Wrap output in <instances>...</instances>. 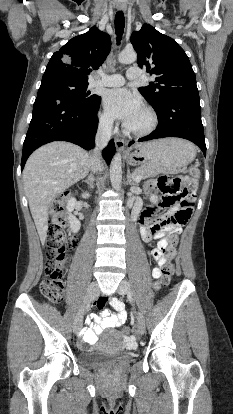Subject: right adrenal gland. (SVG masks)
Returning <instances> with one entry per match:
<instances>
[{
	"mask_svg": "<svg viewBox=\"0 0 233 414\" xmlns=\"http://www.w3.org/2000/svg\"><path fill=\"white\" fill-rule=\"evenodd\" d=\"M94 181H95V178L93 177V175L92 174H90L89 176H88V178L87 179H85V180H83V182H85V183H87V185L91 188V189H93L94 188Z\"/></svg>",
	"mask_w": 233,
	"mask_h": 414,
	"instance_id": "1",
	"label": "right adrenal gland"
}]
</instances>
